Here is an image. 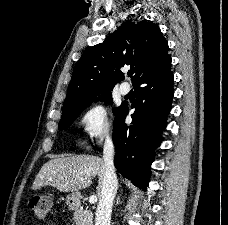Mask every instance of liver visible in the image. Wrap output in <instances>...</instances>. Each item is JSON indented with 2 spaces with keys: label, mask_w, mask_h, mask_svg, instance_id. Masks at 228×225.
<instances>
[{
  "label": "liver",
  "mask_w": 228,
  "mask_h": 225,
  "mask_svg": "<svg viewBox=\"0 0 228 225\" xmlns=\"http://www.w3.org/2000/svg\"><path fill=\"white\" fill-rule=\"evenodd\" d=\"M105 163L100 157L92 155H73L62 159H51L40 169L32 185L33 191L51 185L62 193H78L80 189H87L92 185L93 177L98 175L100 195V183L103 179ZM84 179V181H80Z\"/></svg>",
  "instance_id": "obj_1"
}]
</instances>
